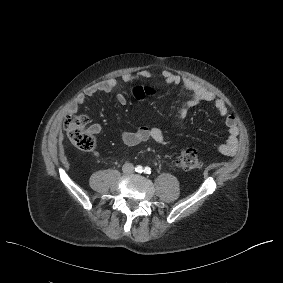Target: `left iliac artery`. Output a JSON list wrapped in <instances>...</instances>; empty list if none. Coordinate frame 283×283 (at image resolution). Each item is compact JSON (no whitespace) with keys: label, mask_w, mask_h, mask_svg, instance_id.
Returning <instances> with one entry per match:
<instances>
[{"label":"left iliac artery","mask_w":283,"mask_h":283,"mask_svg":"<svg viewBox=\"0 0 283 283\" xmlns=\"http://www.w3.org/2000/svg\"><path fill=\"white\" fill-rule=\"evenodd\" d=\"M144 172H145L146 174H150V173H151V170H150L149 167H145Z\"/></svg>","instance_id":"obj_1"}]
</instances>
